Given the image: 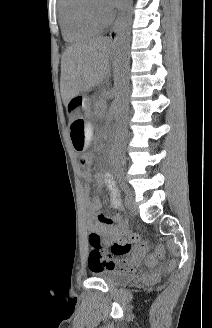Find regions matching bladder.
Returning <instances> with one entry per match:
<instances>
[{
  "label": "bladder",
  "instance_id": "obj_1",
  "mask_svg": "<svg viewBox=\"0 0 212 328\" xmlns=\"http://www.w3.org/2000/svg\"><path fill=\"white\" fill-rule=\"evenodd\" d=\"M92 275L110 286H121L134 279V274L116 270H97L93 271Z\"/></svg>",
  "mask_w": 212,
  "mask_h": 328
}]
</instances>
